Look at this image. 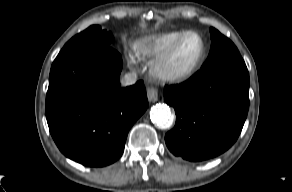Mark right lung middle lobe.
<instances>
[{"instance_id": "obj_1", "label": "right lung middle lobe", "mask_w": 292, "mask_h": 192, "mask_svg": "<svg viewBox=\"0 0 292 192\" xmlns=\"http://www.w3.org/2000/svg\"><path fill=\"white\" fill-rule=\"evenodd\" d=\"M113 41V36L106 30H101L98 25H92L85 31L77 34L70 39L63 47L62 50L66 49H82V48H93V47H110Z\"/></svg>"}]
</instances>
